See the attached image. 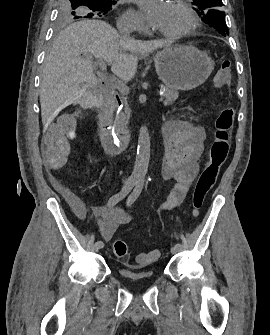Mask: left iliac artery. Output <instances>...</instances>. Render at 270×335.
Returning <instances> with one entry per match:
<instances>
[{"mask_svg": "<svg viewBox=\"0 0 270 335\" xmlns=\"http://www.w3.org/2000/svg\"><path fill=\"white\" fill-rule=\"evenodd\" d=\"M144 181L143 180H138L136 182V187L134 188L133 192L130 194V196L127 199V206H131L136 199L139 197L141 194L142 188H143ZM175 247L180 250L182 249V245L180 243H176Z\"/></svg>", "mask_w": 270, "mask_h": 335, "instance_id": "44dca946", "label": "left iliac artery"}]
</instances>
